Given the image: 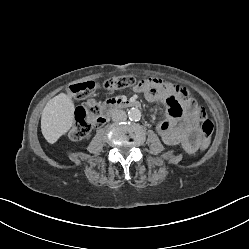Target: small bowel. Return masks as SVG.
I'll return each mask as SVG.
<instances>
[{
  "label": "small bowel",
  "mask_w": 249,
  "mask_h": 249,
  "mask_svg": "<svg viewBox=\"0 0 249 249\" xmlns=\"http://www.w3.org/2000/svg\"><path fill=\"white\" fill-rule=\"evenodd\" d=\"M133 90L144 93L148 99L166 102L168 117L159 124L158 133L167 145L181 144L188 153L198 149L200 108L187 89L161 78H148Z\"/></svg>",
  "instance_id": "small-bowel-1"
}]
</instances>
